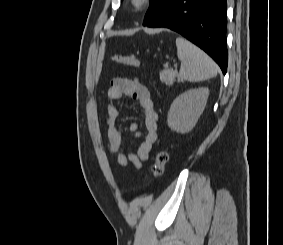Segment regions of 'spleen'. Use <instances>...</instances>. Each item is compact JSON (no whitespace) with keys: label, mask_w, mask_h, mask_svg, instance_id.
<instances>
[{"label":"spleen","mask_w":283,"mask_h":245,"mask_svg":"<svg viewBox=\"0 0 283 245\" xmlns=\"http://www.w3.org/2000/svg\"><path fill=\"white\" fill-rule=\"evenodd\" d=\"M176 46L177 56L181 61V81L199 82L217 75L218 66L200 48L182 37L176 39Z\"/></svg>","instance_id":"spleen-1"}]
</instances>
